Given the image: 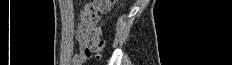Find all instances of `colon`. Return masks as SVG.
Returning a JSON list of instances; mask_svg holds the SVG:
<instances>
[{
	"instance_id": "obj_1",
	"label": "colon",
	"mask_w": 232,
	"mask_h": 65,
	"mask_svg": "<svg viewBox=\"0 0 232 65\" xmlns=\"http://www.w3.org/2000/svg\"><path fill=\"white\" fill-rule=\"evenodd\" d=\"M114 2V0H90L81 12L80 19L87 34L89 57L93 54H99L103 49L102 27L99 22L109 12Z\"/></svg>"
}]
</instances>
